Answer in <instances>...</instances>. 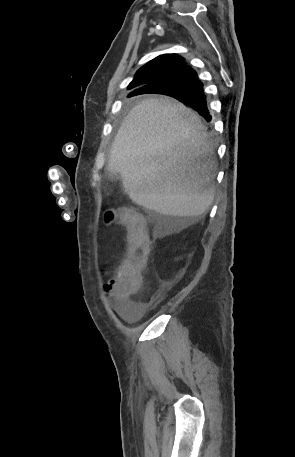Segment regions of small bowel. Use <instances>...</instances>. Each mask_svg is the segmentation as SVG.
I'll use <instances>...</instances> for the list:
<instances>
[{"label": "small bowel", "instance_id": "small-bowel-1", "mask_svg": "<svg viewBox=\"0 0 295 457\" xmlns=\"http://www.w3.org/2000/svg\"><path fill=\"white\" fill-rule=\"evenodd\" d=\"M116 303L122 316L127 320L136 319L142 316L147 310V306L145 304L133 302L130 298H116Z\"/></svg>", "mask_w": 295, "mask_h": 457}]
</instances>
